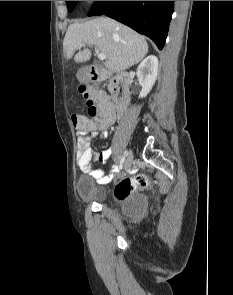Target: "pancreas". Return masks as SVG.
<instances>
[{
  "label": "pancreas",
  "instance_id": "1",
  "mask_svg": "<svg viewBox=\"0 0 233 295\" xmlns=\"http://www.w3.org/2000/svg\"><path fill=\"white\" fill-rule=\"evenodd\" d=\"M109 91L112 93V92H113V89L110 87V88H109Z\"/></svg>",
  "mask_w": 233,
  "mask_h": 295
}]
</instances>
